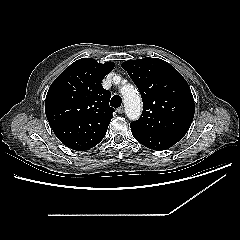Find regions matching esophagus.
<instances>
[{
    "mask_svg": "<svg viewBox=\"0 0 240 240\" xmlns=\"http://www.w3.org/2000/svg\"><path fill=\"white\" fill-rule=\"evenodd\" d=\"M117 112H118L119 114H123L124 108L121 106L120 108L117 109Z\"/></svg>",
    "mask_w": 240,
    "mask_h": 240,
    "instance_id": "esophagus-1",
    "label": "esophagus"
}]
</instances>
